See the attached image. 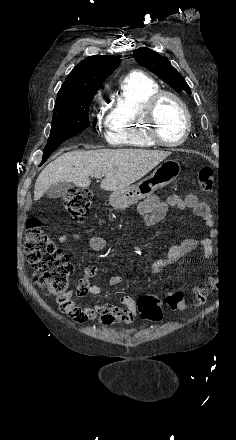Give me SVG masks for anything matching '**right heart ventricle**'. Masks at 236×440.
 <instances>
[{"label": "right heart ventricle", "mask_w": 236, "mask_h": 440, "mask_svg": "<svg viewBox=\"0 0 236 440\" xmlns=\"http://www.w3.org/2000/svg\"><path fill=\"white\" fill-rule=\"evenodd\" d=\"M160 90L158 83L142 73L128 74L112 96L106 117V137L115 147H154L146 133L143 111L147 100Z\"/></svg>", "instance_id": "1"}]
</instances>
